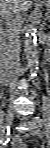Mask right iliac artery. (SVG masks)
I'll list each match as a JSON object with an SVG mask.
<instances>
[{"instance_id":"right-iliac-artery-1","label":"right iliac artery","mask_w":50,"mask_h":148,"mask_svg":"<svg viewBox=\"0 0 50 148\" xmlns=\"http://www.w3.org/2000/svg\"><path fill=\"white\" fill-rule=\"evenodd\" d=\"M4 128V127H2ZM4 133H6L5 138L0 140L1 146L6 145V143L9 141L8 135L10 134V128L7 127L6 131L4 130Z\"/></svg>"}]
</instances>
